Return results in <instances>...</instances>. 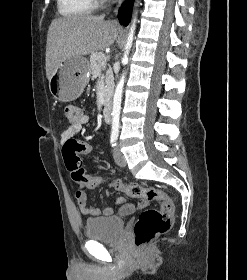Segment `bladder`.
I'll use <instances>...</instances> for the list:
<instances>
[{
    "mask_svg": "<svg viewBox=\"0 0 247 280\" xmlns=\"http://www.w3.org/2000/svg\"><path fill=\"white\" fill-rule=\"evenodd\" d=\"M124 228V220L117 216L89 218L85 222V235L95 241H115Z\"/></svg>",
    "mask_w": 247,
    "mask_h": 280,
    "instance_id": "obj_1",
    "label": "bladder"
}]
</instances>
